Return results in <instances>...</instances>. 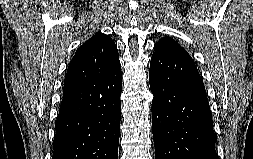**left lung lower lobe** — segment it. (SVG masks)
<instances>
[{
  "mask_svg": "<svg viewBox=\"0 0 253 159\" xmlns=\"http://www.w3.org/2000/svg\"><path fill=\"white\" fill-rule=\"evenodd\" d=\"M155 159H219L204 84L192 58L153 54Z\"/></svg>",
  "mask_w": 253,
  "mask_h": 159,
  "instance_id": "1",
  "label": "left lung lower lobe"
}]
</instances>
